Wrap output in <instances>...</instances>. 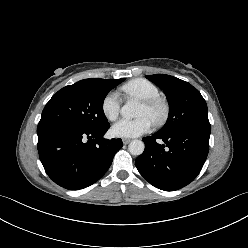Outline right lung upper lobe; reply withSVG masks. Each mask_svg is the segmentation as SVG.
<instances>
[{"label":"right lung upper lobe","mask_w":248,"mask_h":248,"mask_svg":"<svg viewBox=\"0 0 248 248\" xmlns=\"http://www.w3.org/2000/svg\"><path fill=\"white\" fill-rule=\"evenodd\" d=\"M84 80L89 81V82H94V83H96V82H101V81H103V80H105V79H84Z\"/></svg>","instance_id":"cb5924a9"}]
</instances>
